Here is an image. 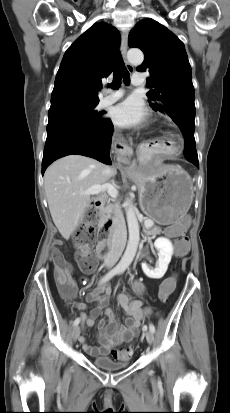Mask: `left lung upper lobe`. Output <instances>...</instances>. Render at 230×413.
Segmentation results:
<instances>
[{
  "label": "left lung upper lobe",
  "mask_w": 230,
  "mask_h": 413,
  "mask_svg": "<svg viewBox=\"0 0 230 413\" xmlns=\"http://www.w3.org/2000/svg\"><path fill=\"white\" fill-rule=\"evenodd\" d=\"M130 47L145 56L137 71H149L147 96L154 110L168 114L182 133L195 129L192 71L183 42L159 22L139 21L128 37Z\"/></svg>",
  "instance_id": "obj_1"
}]
</instances>
